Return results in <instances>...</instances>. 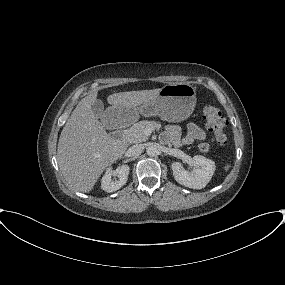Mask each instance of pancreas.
I'll use <instances>...</instances> for the list:
<instances>
[{"label": "pancreas", "mask_w": 285, "mask_h": 285, "mask_svg": "<svg viewBox=\"0 0 285 285\" xmlns=\"http://www.w3.org/2000/svg\"><path fill=\"white\" fill-rule=\"evenodd\" d=\"M161 124L156 121L142 120L134 124L129 129L125 130V140L128 143H140L148 140V135L145 130L150 128L151 130L160 129Z\"/></svg>", "instance_id": "obj_1"}]
</instances>
